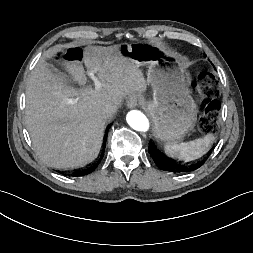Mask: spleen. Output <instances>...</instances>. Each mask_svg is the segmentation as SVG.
I'll use <instances>...</instances> for the list:
<instances>
[{
	"label": "spleen",
	"instance_id": "spleen-1",
	"mask_svg": "<svg viewBox=\"0 0 253 253\" xmlns=\"http://www.w3.org/2000/svg\"><path fill=\"white\" fill-rule=\"evenodd\" d=\"M214 140L212 134H207L204 138L180 144H166L164 151L167 155L185 161L195 160L203 156L210 148Z\"/></svg>",
	"mask_w": 253,
	"mask_h": 253
}]
</instances>
